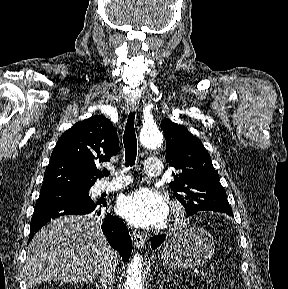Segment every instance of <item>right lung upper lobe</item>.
Here are the masks:
<instances>
[{
	"label": "right lung upper lobe",
	"instance_id": "1",
	"mask_svg": "<svg viewBox=\"0 0 288 289\" xmlns=\"http://www.w3.org/2000/svg\"><path fill=\"white\" fill-rule=\"evenodd\" d=\"M118 151V136L110 120L92 116L80 121L58 139L41 189L91 187L102 177L96 163L110 161Z\"/></svg>",
	"mask_w": 288,
	"mask_h": 289
}]
</instances>
